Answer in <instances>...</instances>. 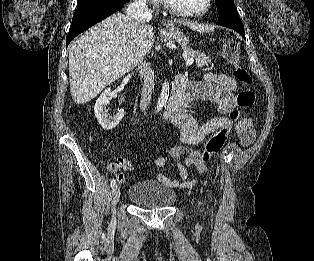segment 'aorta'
Segmentation results:
<instances>
[{"instance_id":"aorta-1","label":"aorta","mask_w":314,"mask_h":261,"mask_svg":"<svg viewBox=\"0 0 314 261\" xmlns=\"http://www.w3.org/2000/svg\"><path fill=\"white\" fill-rule=\"evenodd\" d=\"M168 98H169V83L168 81H165L162 84L161 93L156 105V112L162 110V108L167 104Z\"/></svg>"}]
</instances>
